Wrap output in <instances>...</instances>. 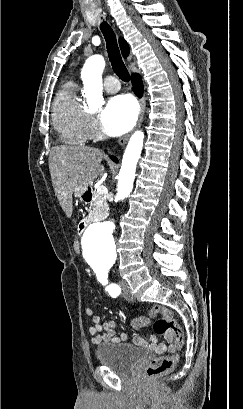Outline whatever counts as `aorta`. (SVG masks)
Segmentation results:
<instances>
[{"label": "aorta", "instance_id": "obj_1", "mask_svg": "<svg viewBox=\"0 0 243 409\" xmlns=\"http://www.w3.org/2000/svg\"><path fill=\"white\" fill-rule=\"evenodd\" d=\"M105 60L100 55L89 57L82 69L83 94L90 107H99L102 98V73ZM144 133L135 132L123 155L117 185V198L124 200L133 189L136 165L143 147ZM114 224L110 221L90 224L82 236V247L86 258L101 260L115 255L113 237Z\"/></svg>", "mask_w": 243, "mask_h": 409}]
</instances>
